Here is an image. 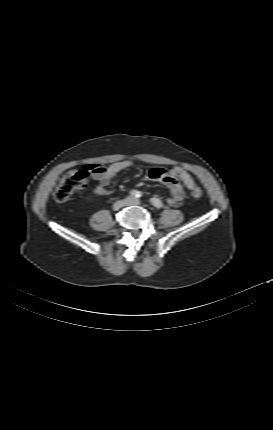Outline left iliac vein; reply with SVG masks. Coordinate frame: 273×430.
<instances>
[{
  "instance_id": "left-iliac-vein-1",
  "label": "left iliac vein",
  "mask_w": 273,
  "mask_h": 430,
  "mask_svg": "<svg viewBox=\"0 0 273 430\" xmlns=\"http://www.w3.org/2000/svg\"><path fill=\"white\" fill-rule=\"evenodd\" d=\"M141 202L138 199L127 198L126 205H140Z\"/></svg>"
}]
</instances>
